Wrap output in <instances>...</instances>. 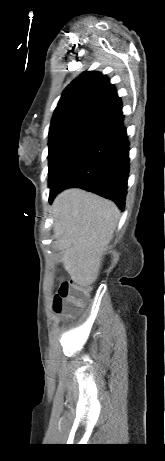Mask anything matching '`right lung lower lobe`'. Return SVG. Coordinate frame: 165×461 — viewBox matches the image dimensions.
<instances>
[{
	"label": "right lung lower lobe",
	"instance_id": "98d812e1",
	"mask_svg": "<svg viewBox=\"0 0 165 461\" xmlns=\"http://www.w3.org/2000/svg\"><path fill=\"white\" fill-rule=\"evenodd\" d=\"M121 113L95 131L49 185L50 203L62 190L79 187L125 206L129 143Z\"/></svg>",
	"mask_w": 165,
	"mask_h": 461
}]
</instances>
